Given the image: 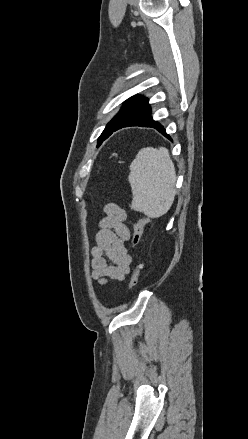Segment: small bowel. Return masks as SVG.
<instances>
[{"mask_svg":"<svg viewBox=\"0 0 248 439\" xmlns=\"http://www.w3.org/2000/svg\"><path fill=\"white\" fill-rule=\"evenodd\" d=\"M103 210L105 216L98 224L96 245L90 251L92 278L101 285L110 280L123 281L132 263L125 246L130 239L126 211L116 203L106 204Z\"/></svg>","mask_w":248,"mask_h":439,"instance_id":"1","label":"small bowel"}]
</instances>
